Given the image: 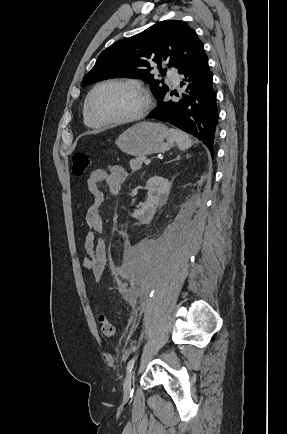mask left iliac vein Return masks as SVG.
Wrapping results in <instances>:
<instances>
[{
	"label": "left iliac vein",
	"instance_id": "1",
	"mask_svg": "<svg viewBox=\"0 0 287 434\" xmlns=\"http://www.w3.org/2000/svg\"><path fill=\"white\" fill-rule=\"evenodd\" d=\"M133 384V374L132 371L127 374L125 382H124V394L125 396L130 395Z\"/></svg>",
	"mask_w": 287,
	"mask_h": 434
}]
</instances>
